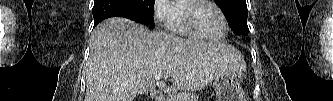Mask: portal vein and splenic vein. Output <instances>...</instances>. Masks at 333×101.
Listing matches in <instances>:
<instances>
[{"mask_svg":"<svg viewBox=\"0 0 333 101\" xmlns=\"http://www.w3.org/2000/svg\"><path fill=\"white\" fill-rule=\"evenodd\" d=\"M162 77H163V76L159 74V75H156V76L154 77V79L157 81V80H160Z\"/></svg>","mask_w":333,"mask_h":101,"instance_id":"portal-vein-and-splenic-vein-1","label":"portal vein and splenic vein"}]
</instances>
